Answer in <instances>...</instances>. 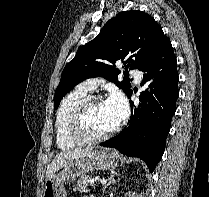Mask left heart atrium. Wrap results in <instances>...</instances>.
Returning a JSON list of instances; mask_svg holds the SVG:
<instances>
[{
    "label": "left heart atrium",
    "mask_w": 209,
    "mask_h": 197,
    "mask_svg": "<svg viewBox=\"0 0 209 197\" xmlns=\"http://www.w3.org/2000/svg\"><path fill=\"white\" fill-rule=\"evenodd\" d=\"M103 107L113 127L117 126L126 117L128 112L126 100L119 92L112 93L104 101Z\"/></svg>",
    "instance_id": "1"
}]
</instances>
